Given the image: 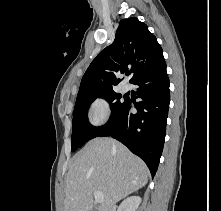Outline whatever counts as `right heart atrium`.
Returning <instances> with one entry per match:
<instances>
[{"label":"right heart atrium","instance_id":"d8ad5b80","mask_svg":"<svg viewBox=\"0 0 221 211\" xmlns=\"http://www.w3.org/2000/svg\"><path fill=\"white\" fill-rule=\"evenodd\" d=\"M109 116V103L102 97L95 98L88 108V119L92 126L103 125Z\"/></svg>","mask_w":221,"mask_h":211}]
</instances>
